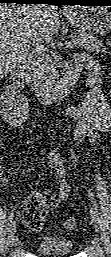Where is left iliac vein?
<instances>
[{
    "instance_id": "left-iliac-vein-1",
    "label": "left iliac vein",
    "mask_w": 111,
    "mask_h": 257,
    "mask_svg": "<svg viewBox=\"0 0 111 257\" xmlns=\"http://www.w3.org/2000/svg\"><path fill=\"white\" fill-rule=\"evenodd\" d=\"M91 218H92V221L95 223L96 221H98L96 211L91 210Z\"/></svg>"
}]
</instances>
